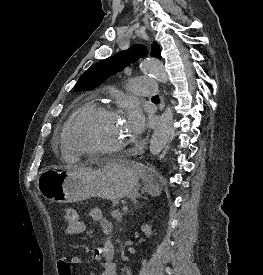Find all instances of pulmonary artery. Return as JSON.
Segmentation results:
<instances>
[{"mask_svg": "<svg viewBox=\"0 0 263 275\" xmlns=\"http://www.w3.org/2000/svg\"><path fill=\"white\" fill-rule=\"evenodd\" d=\"M132 93L141 96H152L157 91L155 80L149 77H137L130 83Z\"/></svg>", "mask_w": 263, "mask_h": 275, "instance_id": "1", "label": "pulmonary artery"}]
</instances>
